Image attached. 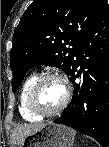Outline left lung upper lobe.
Wrapping results in <instances>:
<instances>
[{
    "instance_id": "5c2ea615",
    "label": "left lung upper lobe",
    "mask_w": 109,
    "mask_h": 147,
    "mask_svg": "<svg viewBox=\"0 0 109 147\" xmlns=\"http://www.w3.org/2000/svg\"><path fill=\"white\" fill-rule=\"evenodd\" d=\"M106 0H35L22 15L10 54L15 93L26 72L36 65L55 66L72 72L78 44L99 15ZM72 46L73 48H70ZM88 90L100 87L93 72Z\"/></svg>"
}]
</instances>
